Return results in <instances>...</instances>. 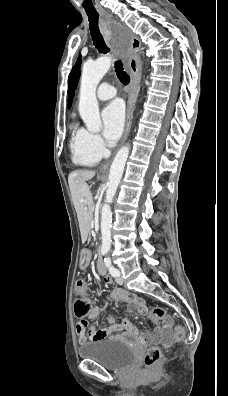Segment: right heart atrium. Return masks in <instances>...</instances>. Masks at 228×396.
I'll use <instances>...</instances> for the list:
<instances>
[{"instance_id": "d8ad5b80", "label": "right heart atrium", "mask_w": 228, "mask_h": 396, "mask_svg": "<svg viewBox=\"0 0 228 396\" xmlns=\"http://www.w3.org/2000/svg\"><path fill=\"white\" fill-rule=\"evenodd\" d=\"M81 134L89 151L101 158L106 152V146L100 135L81 129Z\"/></svg>"}]
</instances>
